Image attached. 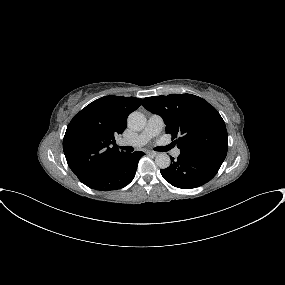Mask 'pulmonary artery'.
I'll return each instance as SVG.
<instances>
[{"mask_svg": "<svg viewBox=\"0 0 285 285\" xmlns=\"http://www.w3.org/2000/svg\"><path fill=\"white\" fill-rule=\"evenodd\" d=\"M164 128L163 119L159 115H151L146 127L132 140L124 139L123 144H132L134 146H142L148 143L152 138L158 136ZM180 151H175V156L179 155Z\"/></svg>", "mask_w": 285, "mask_h": 285, "instance_id": "obj_1", "label": "pulmonary artery"}]
</instances>
